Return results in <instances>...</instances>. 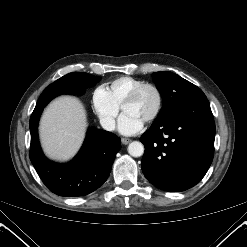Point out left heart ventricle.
<instances>
[{
    "label": "left heart ventricle",
    "instance_id": "b2bd125f",
    "mask_svg": "<svg viewBox=\"0 0 247 247\" xmlns=\"http://www.w3.org/2000/svg\"><path fill=\"white\" fill-rule=\"evenodd\" d=\"M157 97L152 89L144 90L136 101L124 107V113L137 116L145 121L155 110Z\"/></svg>",
    "mask_w": 247,
    "mask_h": 247
}]
</instances>
